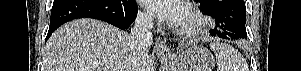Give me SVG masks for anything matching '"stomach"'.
<instances>
[{"label":"stomach","mask_w":301,"mask_h":71,"mask_svg":"<svg viewBox=\"0 0 301 71\" xmlns=\"http://www.w3.org/2000/svg\"><path fill=\"white\" fill-rule=\"evenodd\" d=\"M161 61L167 63L171 71H213L215 67L213 55L202 46L190 47L169 61Z\"/></svg>","instance_id":"obj_1"}]
</instances>
